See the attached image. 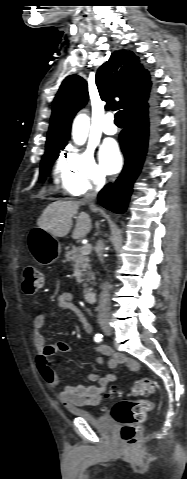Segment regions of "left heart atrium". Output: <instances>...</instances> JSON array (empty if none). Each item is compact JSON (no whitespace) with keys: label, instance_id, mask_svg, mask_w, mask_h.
I'll return each instance as SVG.
<instances>
[{"label":"left heart atrium","instance_id":"1","mask_svg":"<svg viewBox=\"0 0 187 479\" xmlns=\"http://www.w3.org/2000/svg\"><path fill=\"white\" fill-rule=\"evenodd\" d=\"M100 161L107 173L118 172L122 166V158L118 147L113 143L104 144L100 151Z\"/></svg>","mask_w":187,"mask_h":479}]
</instances>
